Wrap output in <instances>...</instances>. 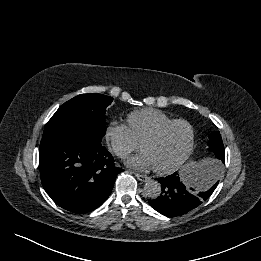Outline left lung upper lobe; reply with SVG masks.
Returning <instances> with one entry per match:
<instances>
[{
    "instance_id": "obj_1",
    "label": "left lung upper lobe",
    "mask_w": 261,
    "mask_h": 261,
    "mask_svg": "<svg viewBox=\"0 0 261 261\" xmlns=\"http://www.w3.org/2000/svg\"><path fill=\"white\" fill-rule=\"evenodd\" d=\"M209 139L210 141L208 142V150L212 151L216 157V159H213L212 161L222 165V163L225 161V150L220 132L217 131L211 133Z\"/></svg>"
}]
</instances>
